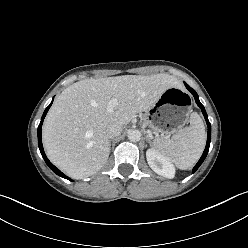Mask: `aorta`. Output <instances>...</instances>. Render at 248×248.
<instances>
[{"label":"aorta","mask_w":248,"mask_h":248,"mask_svg":"<svg viewBox=\"0 0 248 248\" xmlns=\"http://www.w3.org/2000/svg\"><path fill=\"white\" fill-rule=\"evenodd\" d=\"M128 139L131 142H138L141 139V132L139 130H131V131H129Z\"/></svg>","instance_id":"obj_1"}]
</instances>
